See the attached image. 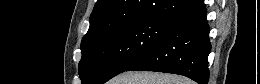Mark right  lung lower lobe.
Segmentation results:
<instances>
[{
    "label": "right lung lower lobe",
    "mask_w": 260,
    "mask_h": 84,
    "mask_svg": "<svg viewBox=\"0 0 260 84\" xmlns=\"http://www.w3.org/2000/svg\"><path fill=\"white\" fill-rule=\"evenodd\" d=\"M210 50L206 9L202 3L194 11L172 22L149 51L126 71L174 73L189 77L199 84H207Z\"/></svg>",
    "instance_id": "obj_1"
}]
</instances>
